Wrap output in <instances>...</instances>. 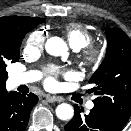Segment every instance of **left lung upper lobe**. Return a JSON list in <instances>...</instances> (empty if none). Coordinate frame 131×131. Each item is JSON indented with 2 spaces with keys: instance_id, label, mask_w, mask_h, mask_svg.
I'll list each match as a JSON object with an SVG mask.
<instances>
[{
  "instance_id": "1",
  "label": "left lung upper lobe",
  "mask_w": 131,
  "mask_h": 131,
  "mask_svg": "<svg viewBox=\"0 0 131 131\" xmlns=\"http://www.w3.org/2000/svg\"><path fill=\"white\" fill-rule=\"evenodd\" d=\"M107 53L89 83L95 106L125 125L131 116V40L119 28L107 29Z\"/></svg>"
}]
</instances>
